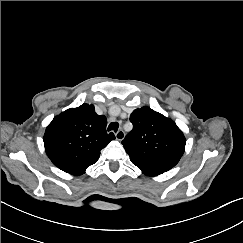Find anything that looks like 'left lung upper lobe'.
Here are the masks:
<instances>
[{"instance_id":"5c2ea615","label":"left lung upper lobe","mask_w":243,"mask_h":243,"mask_svg":"<svg viewBox=\"0 0 243 243\" xmlns=\"http://www.w3.org/2000/svg\"><path fill=\"white\" fill-rule=\"evenodd\" d=\"M133 129L122 144L130 160L171 169L182 157L185 137L176 123L149 107L130 115Z\"/></svg>"}]
</instances>
